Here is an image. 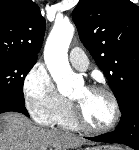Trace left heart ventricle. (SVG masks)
Returning a JSON list of instances; mask_svg holds the SVG:
<instances>
[{"label":"left heart ventricle","instance_id":"left-heart-ventricle-1","mask_svg":"<svg viewBox=\"0 0 139 150\" xmlns=\"http://www.w3.org/2000/svg\"><path fill=\"white\" fill-rule=\"evenodd\" d=\"M71 99L79 103L85 120L93 127H105L113 118L110 98L103 92L92 91L86 86L78 87Z\"/></svg>","mask_w":139,"mask_h":150}]
</instances>
